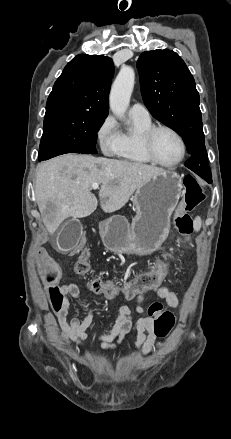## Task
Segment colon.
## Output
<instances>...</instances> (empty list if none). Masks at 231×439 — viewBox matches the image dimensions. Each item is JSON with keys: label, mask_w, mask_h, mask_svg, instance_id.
I'll return each instance as SVG.
<instances>
[{"label": "colon", "mask_w": 231, "mask_h": 439, "mask_svg": "<svg viewBox=\"0 0 231 439\" xmlns=\"http://www.w3.org/2000/svg\"><path fill=\"white\" fill-rule=\"evenodd\" d=\"M185 194L176 211L174 223L178 232L190 237L194 231V222L189 212L195 209L203 200L204 193L201 185L191 175L184 177ZM87 242L86 236H80L76 243L78 248H85ZM50 251L47 248L40 250L37 258L40 267V274L45 275L41 285L48 289L51 295L50 304L47 305L48 313H61L64 308V294L60 292L59 281L61 279L60 267L50 258ZM170 260H152L151 264L145 270L139 271V276H134L133 280L121 284L113 280H104L102 278H92L87 282L88 289L96 294H102L112 298L123 295L124 298H137L138 295H157L155 288L161 286L163 279L167 277V270L172 269ZM74 271L79 276H85L90 271L88 252L83 251L78 257ZM167 284V283H166ZM174 315L169 311H160L153 320V331L157 337H165L169 334L174 326Z\"/></svg>", "instance_id": "1"}]
</instances>
